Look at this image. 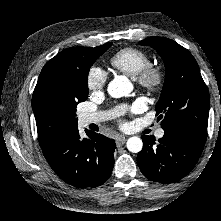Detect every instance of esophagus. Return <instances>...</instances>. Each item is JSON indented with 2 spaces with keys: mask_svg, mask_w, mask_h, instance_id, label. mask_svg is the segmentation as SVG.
Instances as JSON below:
<instances>
[{
  "mask_svg": "<svg viewBox=\"0 0 221 221\" xmlns=\"http://www.w3.org/2000/svg\"><path fill=\"white\" fill-rule=\"evenodd\" d=\"M126 142V138L124 136H118L116 138V145L119 147V146H122L124 143Z\"/></svg>",
  "mask_w": 221,
  "mask_h": 221,
  "instance_id": "obj_1",
  "label": "esophagus"
}]
</instances>
